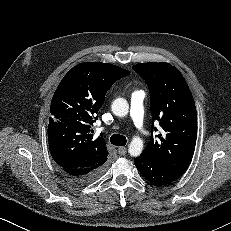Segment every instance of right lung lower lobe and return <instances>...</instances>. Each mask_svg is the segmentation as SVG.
Wrapping results in <instances>:
<instances>
[{
    "label": "right lung lower lobe",
    "instance_id": "obj_1",
    "mask_svg": "<svg viewBox=\"0 0 231 231\" xmlns=\"http://www.w3.org/2000/svg\"><path fill=\"white\" fill-rule=\"evenodd\" d=\"M105 162L91 168H62L67 180L73 184L85 185L94 181L102 172Z\"/></svg>",
    "mask_w": 231,
    "mask_h": 231
}]
</instances>
